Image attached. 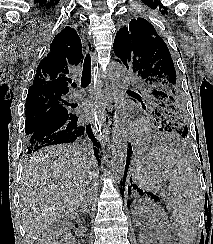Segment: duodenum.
Listing matches in <instances>:
<instances>
[{
	"label": "duodenum",
	"mask_w": 213,
	"mask_h": 244,
	"mask_svg": "<svg viewBox=\"0 0 213 244\" xmlns=\"http://www.w3.org/2000/svg\"><path fill=\"white\" fill-rule=\"evenodd\" d=\"M75 226H76L75 230L78 231L79 230L78 225H75Z\"/></svg>",
	"instance_id": "duodenum-1"
}]
</instances>
